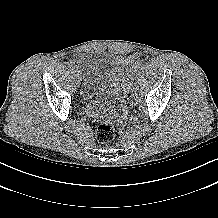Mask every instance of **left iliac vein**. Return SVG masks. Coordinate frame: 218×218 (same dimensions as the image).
I'll return each mask as SVG.
<instances>
[{"label":"left iliac vein","instance_id":"4c4485c4","mask_svg":"<svg viewBox=\"0 0 218 218\" xmlns=\"http://www.w3.org/2000/svg\"><path fill=\"white\" fill-rule=\"evenodd\" d=\"M128 93H133V87H128Z\"/></svg>","mask_w":218,"mask_h":218}]
</instances>
